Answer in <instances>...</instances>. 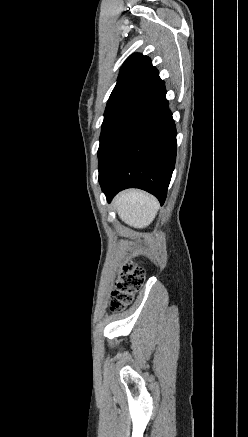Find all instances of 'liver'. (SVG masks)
Masks as SVG:
<instances>
[{"instance_id":"obj_1","label":"liver","mask_w":248,"mask_h":437,"mask_svg":"<svg viewBox=\"0 0 248 437\" xmlns=\"http://www.w3.org/2000/svg\"><path fill=\"white\" fill-rule=\"evenodd\" d=\"M114 206L120 219L135 228L147 227L159 209L158 201L140 190H127L114 199Z\"/></svg>"}]
</instances>
